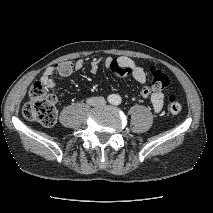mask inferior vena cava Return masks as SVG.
Here are the masks:
<instances>
[{"label": "inferior vena cava", "mask_w": 213, "mask_h": 213, "mask_svg": "<svg viewBox=\"0 0 213 213\" xmlns=\"http://www.w3.org/2000/svg\"><path fill=\"white\" fill-rule=\"evenodd\" d=\"M87 103L91 106H103L106 104L104 97H92L87 99Z\"/></svg>", "instance_id": "inferior-vena-cava-1"}]
</instances>
